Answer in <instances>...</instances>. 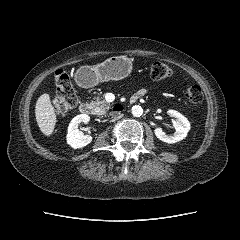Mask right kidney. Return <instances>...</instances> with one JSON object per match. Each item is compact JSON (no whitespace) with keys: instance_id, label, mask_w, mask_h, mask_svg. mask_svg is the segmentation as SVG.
<instances>
[{"instance_id":"obj_1","label":"right kidney","mask_w":240,"mask_h":240,"mask_svg":"<svg viewBox=\"0 0 240 240\" xmlns=\"http://www.w3.org/2000/svg\"><path fill=\"white\" fill-rule=\"evenodd\" d=\"M90 117L87 114H80L75 116L69 124L67 133V143L74 149L82 148L92 141L90 135H83V133L78 129L81 123H88Z\"/></svg>"}]
</instances>
